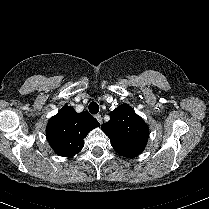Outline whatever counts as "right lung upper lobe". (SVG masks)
<instances>
[{"label": "right lung upper lobe", "mask_w": 209, "mask_h": 209, "mask_svg": "<svg viewBox=\"0 0 209 209\" xmlns=\"http://www.w3.org/2000/svg\"><path fill=\"white\" fill-rule=\"evenodd\" d=\"M100 126L87 111L76 113L70 106H64L53 116L46 128V137L56 154L72 157L84 146L89 131Z\"/></svg>", "instance_id": "obj_1"}]
</instances>
